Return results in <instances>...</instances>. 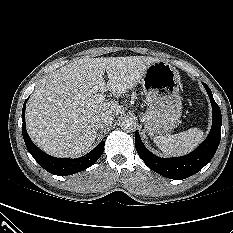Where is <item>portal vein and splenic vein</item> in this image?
Returning a JSON list of instances; mask_svg holds the SVG:
<instances>
[{
  "instance_id": "obj_1",
  "label": "portal vein and splenic vein",
  "mask_w": 233,
  "mask_h": 233,
  "mask_svg": "<svg viewBox=\"0 0 233 233\" xmlns=\"http://www.w3.org/2000/svg\"><path fill=\"white\" fill-rule=\"evenodd\" d=\"M97 100L99 102H103L105 100V95L104 94H97Z\"/></svg>"
}]
</instances>
